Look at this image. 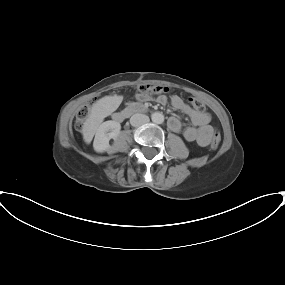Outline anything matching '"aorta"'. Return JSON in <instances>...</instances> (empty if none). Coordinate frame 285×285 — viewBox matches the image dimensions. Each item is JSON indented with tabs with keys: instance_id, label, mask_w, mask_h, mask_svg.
Wrapping results in <instances>:
<instances>
[{
	"instance_id": "obj_1",
	"label": "aorta",
	"mask_w": 285,
	"mask_h": 285,
	"mask_svg": "<svg viewBox=\"0 0 285 285\" xmlns=\"http://www.w3.org/2000/svg\"><path fill=\"white\" fill-rule=\"evenodd\" d=\"M151 119L156 124H162L164 122V115L160 112H155L151 115Z\"/></svg>"
}]
</instances>
